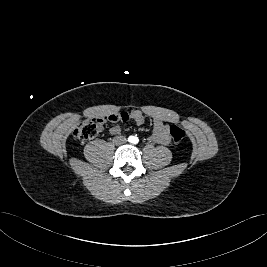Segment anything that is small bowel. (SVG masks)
I'll use <instances>...</instances> for the list:
<instances>
[{
    "label": "small bowel",
    "mask_w": 267,
    "mask_h": 267,
    "mask_svg": "<svg viewBox=\"0 0 267 267\" xmlns=\"http://www.w3.org/2000/svg\"><path fill=\"white\" fill-rule=\"evenodd\" d=\"M114 113L108 114L105 117H109ZM128 118L125 120H133L135 124L142 125L146 119V113L142 110H132L131 112L127 113ZM153 119V133L150 137V140L154 143L161 144V145H168L171 142V137L169 133V126L167 121H170L169 116H162V115H151ZM109 132L112 135H117L121 132V128L119 125H114L109 129Z\"/></svg>",
    "instance_id": "1"
}]
</instances>
